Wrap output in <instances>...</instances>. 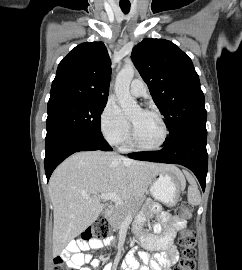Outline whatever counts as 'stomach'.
<instances>
[{
  "label": "stomach",
  "instance_id": "0dacf381",
  "mask_svg": "<svg viewBox=\"0 0 242 270\" xmlns=\"http://www.w3.org/2000/svg\"><path fill=\"white\" fill-rule=\"evenodd\" d=\"M184 187L185 180L182 174L164 171L154 180L150 191L154 199L172 205L178 201Z\"/></svg>",
  "mask_w": 242,
  "mask_h": 270
}]
</instances>
